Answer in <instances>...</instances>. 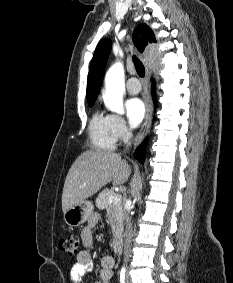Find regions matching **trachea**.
<instances>
[{
	"instance_id": "trachea-1",
	"label": "trachea",
	"mask_w": 233,
	"mask_h": 283,
	"mask_svg": "<svg viewBox=\"0 0 233 283\" xmlns=\"http://www.w3.org/2000/svg\"><path fill=\"white\" fill-rule=\"evenodd\" d=\"M134 60V64H135V68H136V71H137V74L140 76V77H144L145 75V68H144V65L142 64V62L137 59L135 56L133 58Z\"/></svg>"
}]
</instances>
